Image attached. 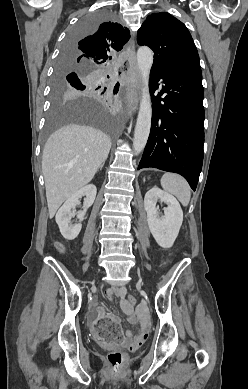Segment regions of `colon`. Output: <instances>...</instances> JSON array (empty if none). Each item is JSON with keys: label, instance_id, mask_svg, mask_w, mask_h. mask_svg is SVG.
<instances>
[{"label": "colon", "instance_id": "1", "mask_svg": "<svg viewBox=\"0 0 248 389\" xmlns=\"http://www.w3.org/2000/svg\"><path fill=\"white\" fill-rule=\"evenodd\" d=\"M136 303L134 296L130 295L127 298L129 308H133ZM97 323L91 327V332L96 333V336L101 340L102 344H119L123 339V334L119 331L121 328L120 322H112L108 315H98ZM109 369L117 372L124 366L125 354L122 351H112L107 356Z\"/></svg>", "mask_w": 248, "mask_h": 389}]
</instances>
